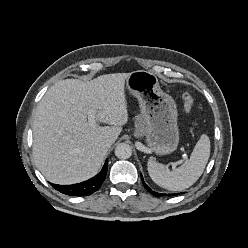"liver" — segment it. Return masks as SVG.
<instances>
[{"label":"liver","instance_id":"liver-1","mask_svg":"<svg viewBox=\"0 0 248 248\" xmlns=\"http://www.w3.org/2000/svg\"><path fill=\"white\" fill-rule=\"evenodd\" d=\"M130 73L101 75L91 81L65 79L51 86L33 117V156L43 176L54 184L85 181L99 171L108 148L128 121L125 82ZM95 119L108 124L90 125Z\"/></svg>","mask_w":248,"mask_h":248}]
</instances>
